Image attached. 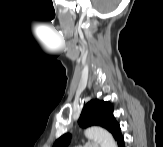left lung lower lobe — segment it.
I'll list each match as a JSON object with an SVG mask.
<instances>
[{"label":"left lung lower lobe","mask_w":163,"mask_h":147,"mask_svg":"<svg viewBox=\"0 0 163 147\" xmlns=\"http://www.w3.org/2000/svg\"><path fill=\"white\" fill-rule=\"evenodd\" d=\"M115 140L117 141L118 147H124V138L121 133L115 138Z\"/></svg>","instance_id":"0a47b994"}]
</instances>
